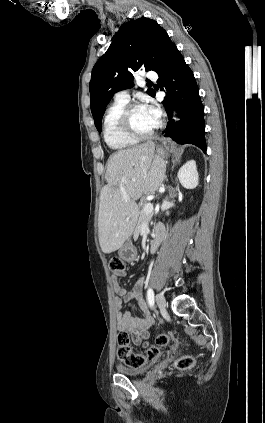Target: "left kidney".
Here are the masks:
<instances>
[{
	"label": "left kidney",
	"instance_id": "5707ae66",
	"mask_svg": "<svg viewBox=\"0 0 265 423\" xmlns=\"http://www.w3.org/2000/svg\"><path fill=\"white\" fill-rule=\"evenodd\" d=\"M181 185L187 189H193L198 185V172L196 162L190 160L185 163L178 172Z\"/></svg>",
	"mask_w": 265,
	"mask_h": 423
}]
</instances>
